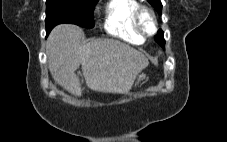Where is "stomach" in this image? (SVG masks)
Listing matches in <instances>:
<instances>
[{
  "label": "stomach",
  "mask_w": 227,
  "mask_h": 142,
  "mask_svg": "<svg viewBox=\"0 0 227 142\" xmlns=\"http://www.w3.org/2000/svg\"><path fill=\"white\" fill-rule=\"evenodd\" d=\"M145 74H141V75H139V77L137 78V84L141 81V80H143V79H145Z\"/></svg>",
  "instance_id": "stomach-1"
}]
</instances>
